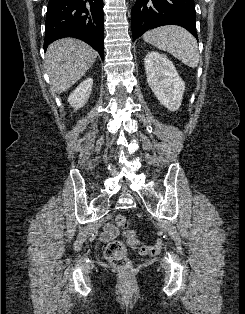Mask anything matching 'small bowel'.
I'll use <instances>...</instances> for the list:
<instances>
[{
    "instance_id": "c3829d8e",
    "label": "small bowel",
    "mask_w": 245,
    "mask_h": 314,
    "mask_svg": "<svg viewBox=\"0 0 245 314\" xmlns=\"http://www.w3.org/2000/svg\"><path fill=\"white\" fill-rule=\"evenodd\" d=\"M118 233V229L112 223H106L103 232L100 235V239L103 242H108L116 238Z\"/></svg>"
}]
</instances>
